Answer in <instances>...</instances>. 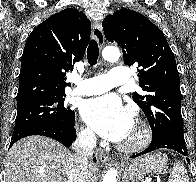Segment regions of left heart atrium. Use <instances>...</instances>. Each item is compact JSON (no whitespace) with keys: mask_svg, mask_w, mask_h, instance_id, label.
<instances>
[{"mask_svg":"<svg viewBox=\"0 0 196 182\" xmlns=\"http://www.w3.org/2000/svg\"><path fill=\"white\" fill-rule=\"evenodd\" d=\"M81 116L97 134L113 142L124 141L135 124L133 112L114 94L85 101Z\"/></svg>","mask_w":196,"mask_h":182,"instance_id":"39dd6f15","label":"left heart atrium"}]
</instances>
